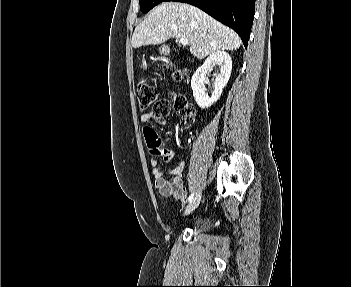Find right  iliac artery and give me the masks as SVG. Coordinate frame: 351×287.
<instances>
[{"label":"right iliac artery","instance_id":"82829eb1","mask_svg":"<svg viewBox=\"0 0 351 287\" xmlns=\"http://www.w3.org/2000/svg\"><path fill=\"white\" fill-rule=\"evenodd\" d=\"M193 197H194V193H192V194L188 197L187 201H188V202H191L192 199H193Z\"/></svg>","mask_w":351,"mask_h":287}]
</instances>
